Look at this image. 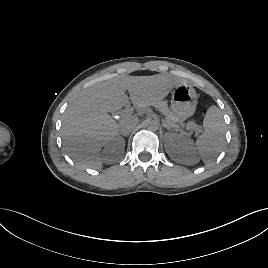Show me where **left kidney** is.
Returning <instances> with one entry per match:
<instances>
[{"label": "left kidney", "instance_id": "left-kidney-1", "mask_svg": "<svg viewBox=\"0 0 268 268\" xmlns=\"http://www.w3.org/2000/svg\"><path fill=\"white\" fill-rule=\"evenodd\" d=\"M164 147L174 161L183 164H195L199 161L193 141L181 134L167 133Z\"/></svg>", "mask_w": 268, "mask_h": 268}]
</instances>
